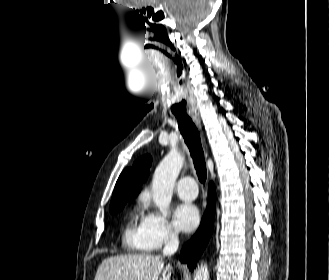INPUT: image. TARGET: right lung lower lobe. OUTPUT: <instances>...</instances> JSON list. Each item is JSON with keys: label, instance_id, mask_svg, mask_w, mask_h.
I'll use <instances>...</instances> for the list:
<instances>
[{"label": "right lung lower lobe", "instance_id": "right-lung-lower-lobe-1", "mask_svg": "<svg viewBox=\"0 0 329 280\" xmlns=\"http://www.w3.org/2000/svg\"><path fill=\"white\" fill-rule=\"evenodd\" d=\"M208 196L207 211L202 218L199 230L194 234L191 240L183 246L180 253V260L186 263L191 271H193L196 266V262L206 247L213 231L216 194L212 183L208 190Z\"/></svg>", "mask_w": 329, "mask_h": 280}]
</instances>
